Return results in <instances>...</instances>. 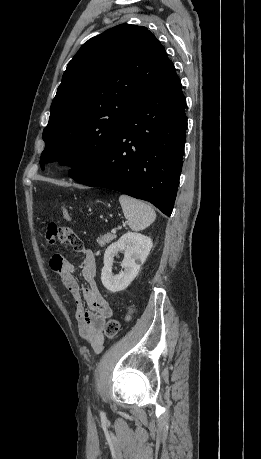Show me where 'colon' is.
Returning <instances> with one entry per match:
<instances>
[{"label": "colon", "mask_w": 261, "mask_h": 459, "mask_svg": "<svg viewBox=\"0 0 261 459\" xmlns=\"http://www.w3.org/2000/svg\"><path fill=\"white\" fill-rule=\"evenodd\" d=\"M61 216L63 219L69 220L70 214L67 208L65 207L61 208ZM133 312H134V307L133 306L129 307L127 310L126 316L124 317V320L128 321L131 318ZM120 327H121V322L118 319H109L104 325V334L106 338H108L109 340L114 339L118 335L120 331Z\"/></svg>", "instance_id": "colon-1"}]
</instances>
